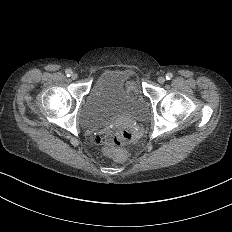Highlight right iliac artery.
I'll use <instances>...</instances> for the list:
<instances>
[{
  "label": "right iliac artery",
  "instance_id": "right-iliac-artery-1",
  "mask_svg": "<svg viewBox=\"0 0 232 232\" xmlns=\"http://www.w3.org/2000/svg\"><path fill=\"white\" fill-rule=\"evenodd\" d=\"M65 73H66V76H67V77H70V76L72 75V71L69 70V69L66 70Z\"/></svg>",
  "mask_w": 232,
  "mask_h": 232
}]
</instances>
